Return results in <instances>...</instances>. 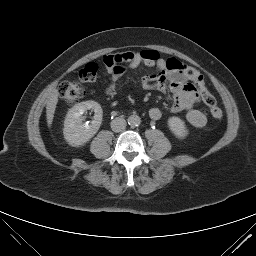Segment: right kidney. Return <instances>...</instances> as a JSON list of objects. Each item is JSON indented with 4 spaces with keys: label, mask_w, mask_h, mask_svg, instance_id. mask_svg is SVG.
Listing matches in <instances>:
<instances>
[{
    "label": "right kidney",
    "mask_w": 256,
    "mask_h": 256,
    "mask_svg": "<svg viewBox=\"0 0 256 256\" xmlns=\"http://www.w3.org/2000/svg\"><path fill=\"white\" fill-rule=\"evenodd\" d=\"M94 111L91 124H84L82 115L87 111ZM103 111L95 101H85L74 105L67 113L63 134L69 145L78 147L84 145L97 133L102 123Z\"/></svg>",
    "instance_id": "1"
}]
</instances>
